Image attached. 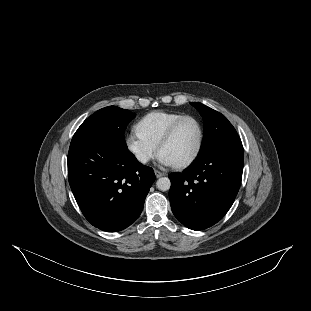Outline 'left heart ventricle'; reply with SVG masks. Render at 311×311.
I'll list each match as a JSON object with an SVG mask.
<instances>
[{"mask_svg":"<svg viewBox=\"0 0 311 311\" xmlns=\"http://www.w3.org/2000/svg\"><path fill=\"white\" fill-rule=\"evenodd\" d=\"M199 123L189 118L178 129L173 141L161 151L173 165L183 163L195 154L200 141Z\"/></svg>","mask_w":311,"mask_h":311,"instance_id":"b2bd125f","label":"left heart ventricle"}]
</instances>
